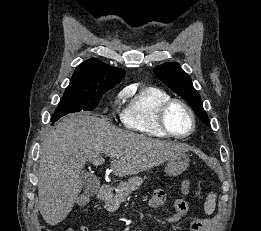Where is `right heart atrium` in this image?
I'll use <instances>...</instances> for the list:
<instances>
[{
  "label": "right heart atrium",
  "mask_w": 261,
  "mask_h": 231,
  "mask_svg": "<svg viewBox=\"0 0 261 231\" xmlns=\"http://www.w3.org/2000/svg\"><path fill=\"white\" fill-rule=\"evenodd\" d=\"M124 93H125V91H122L119 96L122 97L124 95Z\"/></svg>",
  "instance_id": "obj_1"
}]
</instances>
